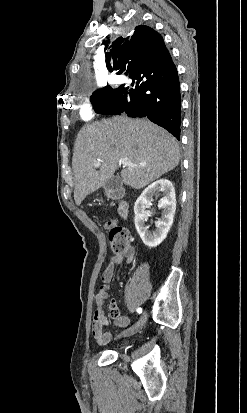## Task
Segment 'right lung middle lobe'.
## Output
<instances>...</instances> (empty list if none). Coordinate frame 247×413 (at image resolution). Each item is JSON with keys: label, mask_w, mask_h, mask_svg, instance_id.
<instances>
[{"label": "right lung middle lobe", "mask_w": 247, "mask_h": 413, "mask_svg": "<svg viewBox=\"0 0 247 413\" xmlns=\"http://www.w3.org/2000/svg\"><path fill=\"white\" fill-rule=\"evenodd\" d=\"M121 87L112 89L110 86L99 89L91 96V102L94 104V109L99 114H104L111 101L120 91Z\"/></svg>", "instance_id": "right-lung-middle-lobe-1"}]
</instances>
